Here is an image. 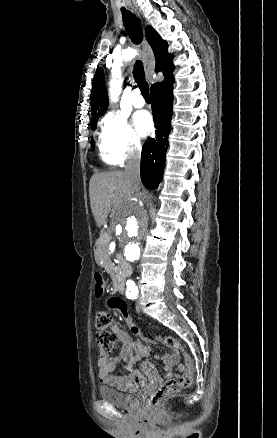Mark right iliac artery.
I'll return each instance as SVG.
<instances>
[{
  "instance_id": "1",
  "label": "right iliac artery",
  "mask_w": 277,
  "mask_h": 438,
  "mask_svg": "<svg viewBox=\"0 0 277 438\" xmlns=\"http://www.w3.org/2000/svg\"><path fill=\"white\" fill-rule=\"evenodd\" d=\"M130 299H134L135 298V296L134 295H131L130 297H129Z\"/></svg>"
}]
</instances>
